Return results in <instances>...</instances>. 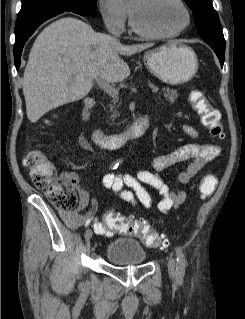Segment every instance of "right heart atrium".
Wrapping results in <instances>:
<instances>
[{
  "label": "right heart atrium",
  "instance_id": "1",
  "mask_svg": "<svg viewBox=\"0 0 245 319\" xmlns=\"http://www.w3.org/2000/svg\"><path fill=\"white\" fill-rule=\"evenodd\" d=\"M98 3L106 28L114 34H122L128 21L127 8L119 0H98Z\"/></svg>",
  "mask_w": 245,
  "mask_h": 319
}]
</instances>
